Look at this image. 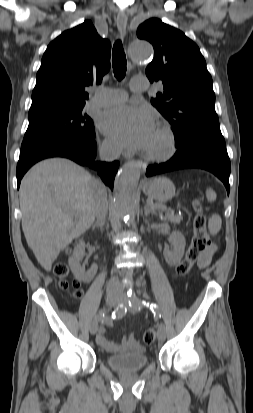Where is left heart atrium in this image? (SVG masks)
I'll list each match as a JSON object with an SVG mask.
<instances>
[{
    "label": "left heart atrium",
    "instance_id": "39dd6f15",
    "mask_svg": "<svg viewBox=\"0 0 253 413\" xmlns=\"http://www.w3.org/2000/svg\"><path fill=\"white\" fill-rule=\"evenodd\" d=\"M100 128L119 143L135 148H147L155 131L151 112L143 107L122 106L105 112Z\"/></svg>",
    "mask_w": 253,
    "mask_h": 413
}]
</instances>
